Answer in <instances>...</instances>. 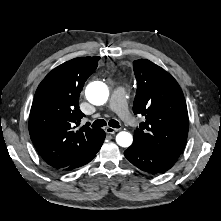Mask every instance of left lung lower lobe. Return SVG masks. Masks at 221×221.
<instances>
[{
    "mask_svg": "<svg viewBox=\"0 0 221 221\" xmlns=\"http://www.w3.org/2000/svg\"><path fill=\"white\" fill-rule=\"evenodd\" d=\"M124 155L135 167L153 175L166 172L175 163L136 141L125 150Z\"/></svg>",
    "mask_w": 221,
    "mask_h": 221,
    "instance_id": "left-lung-lower-lobe-1",
    "label": "left lung lower lobe"
}]
</instances>
